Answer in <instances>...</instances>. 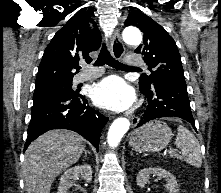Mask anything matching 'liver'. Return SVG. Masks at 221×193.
I'll list each match as a JSON object with an SVG mask.
<instances>
[{
  "mask_svg": "<svg viewBox=\"0 0 221 193\" xmlns=\"http://www.w3.org/2000/svg\"><path fill=\"white\" fill-rule=\"evenodd\" d=\"M84 139L70 130H50L25 152L23 177L26 193H50L55 178L75 164L84 151Z\"/></svg>",
  "mask_w": 221,
  "mask_h": 193,
  "instance_id": "6515ba94",
  "label": "liver"
}]
</instances>
